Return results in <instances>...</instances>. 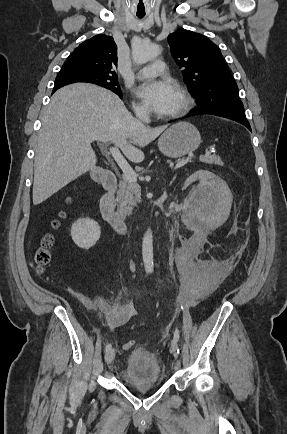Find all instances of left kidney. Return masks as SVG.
I'll return each instance as SVG.
<instances>
[{
    "instance_id": "left-kidney-1",
    "label": "left kidney",
    "mask_w": 287,
    "mask_h": 434,
    "mask_svg": "<svg viewBox=\"0 0 287 434\" xmlns=\"http://www.w3.org/2000/svg\"><path fill=\"white\" fill-rule=\"evenodd\" d=\"M200 180L198 186L184 200V210H191L198 218L222 222L232 205V193L226 182L215 174L200 170L184 182V187Z\"/></svg>"
}]
</instances>
